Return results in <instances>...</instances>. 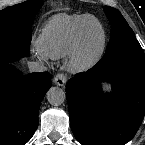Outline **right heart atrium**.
I'll return each mask as SVG.
<instances>
[{
    "mask_svg": "<svg viewBox=\"0 0 145 145\" xmlns=\"http://www.w3.org/2000/svg\"><path fill=\"white\" fill-rule=\"evenodd\" d=\"M36 56H37L40 60H42V61H47V56L44 55V54H42V53L39 52V51H36Z\"/></svg>",
    "mask_w": 145,
    "mask_h": 145,
    "instance_id": "right-heart-atrium-1",
    "label": "right heart atrium"
}]
</instances>
